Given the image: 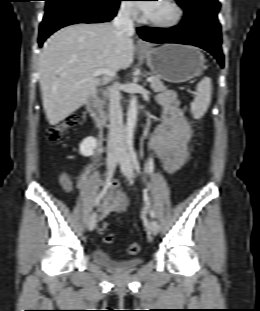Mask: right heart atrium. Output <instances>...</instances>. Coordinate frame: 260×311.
Instances as JSON below:
<instances>
[{"instance_id":"d8ad5b80","label":"right heart atrium","mask_w":260,"mask_h":311,"mask_svg":"<svg viewBox=\"0 0 260 311\" xmlns=\"http://www.w3.org/2000/svg\"><path fill=\"white\" fill-rule=\"evenodd\" d=\"M129 2V1H123ZM120 13H122L127 18H135L137 16V11L132 4L123 3L120 7Z\"/></svg>"}]
</instances>
